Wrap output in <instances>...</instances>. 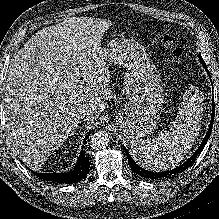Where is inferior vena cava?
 Instances as JSON below:
<instances>
[{
  "label": "inferior vena cava",
  "instance_id": "1",
  "mask_svg": "<svg viewBox=\"0 0 219 219\" xmlns=\"http://www.w3.org/2000/svg\"><path fill=\"white\" fill-rule=\"evenodd\" d=\"M92 115H93V112L90 109H88L87 107H83V108L78 110V117L80 119H86Z\"/></svg>",
  "mask_w": 219,
  "mask_h": 219
}]
</instances>
